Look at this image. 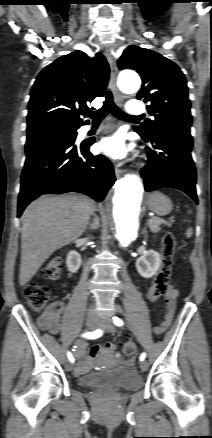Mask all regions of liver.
<instances>
[{
    "label": "liver",
    "instance_id": "liver-1",
    "mask_svg": "<svg viewBox=\"0 0 212 438\" xmlns=\"http://www.w3.org/2000/svg\"><path fill=\"white\" fill-rule=\"evenodd\" d=\"M95 209L94 200L81 194L41 197L25 209L21 218V286L56 250L83 234Z\"/></svg>",
    "mask_w": 212,
    "mask_h": 438
}]
</instances>
